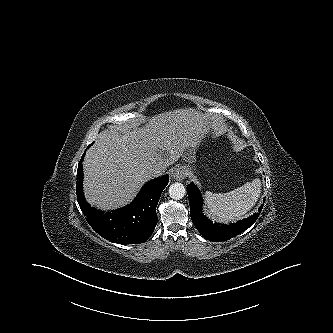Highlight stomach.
<instances>
[{
	"instance_id": "stomach-1",
	"label": "stomach",
	"mask_w": 333,
	"mask_h": 333,
	"mask_svg": "<svg viewBox=\"0 0 333 333\" xmlns=\"http://www.w3.org/2000/svg\"><path fill=\"white\" fill-rule=\"evenodd\" d=\"M184 161L187 163L185 165V168L188 170V171H192V170H195V168L193 169V167H191V164L194 163L196 161V157L194 154H191V153H186L184 155Z\"/></svg>"
}]
</instances>
